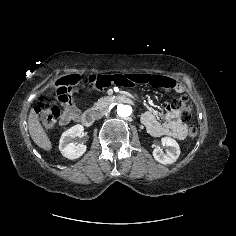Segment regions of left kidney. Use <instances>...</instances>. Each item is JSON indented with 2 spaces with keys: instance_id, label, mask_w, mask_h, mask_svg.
Returning a JSON list of instances; mask_svg holds the SVG:
<instances>
[{
  "instance_id": "obj_1",
  "label": "left kidney",
  "mask_w": 236,
  "mask_h": 236,
  "mask_svg": "<svg viewBox=\"0 0 236 236\" xmlns=\"http://www.w3.org/2000/svg\"><path fill=\"white\" fill-rule=\"evenodd\" d=\"M162 145L166 146L165 152L160 148L153 150V157L161 164H172L176 162L180 155V147L176 140L171 137H163Z\"/></svg>"
}]
</instances>
